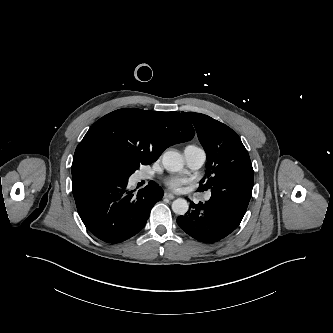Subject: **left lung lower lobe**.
<instances>
[{"mask_svg":"<svg viewBox=\"0 0 333 333\" xmlns=\"http://www.w3.org/2000/svg\"><path fill=\"white\" fill-rule=\"evenodd\" d=\"M253 168L251 162L242 163L234 170L224 172L210 200L191 204V210L177 218L184 232L198 241L217 242L240 224L253 188Z\"/></svg>","mask_w":333,"mask_h":333,"instance_id":"0a47b994","label":"left lung lower lobe"}]
</instances>
